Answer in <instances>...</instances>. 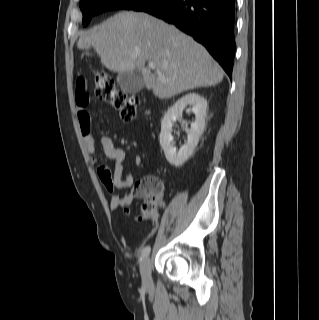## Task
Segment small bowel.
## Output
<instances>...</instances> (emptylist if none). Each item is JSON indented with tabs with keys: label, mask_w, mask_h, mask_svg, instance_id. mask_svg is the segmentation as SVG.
Listing matches in <instances>:
<instances>
[{
	"label": "small bowel",
	"mask_w": 319,
	"mask_h": 320,
	"mask_svg": "<svg viewBox=\"0 0 319 320\" xmlns=\"http://www.w3.org/2000/svg\"><path fill=\"white\" fill-rule=\"evenodd\" d=\"M89 102L90 98L85 84L79 85L75 93L77 123L82 132L88 154L92 157L95 164H100L101 161L97 154L95 140L90 134L92 116L88 109ZM118 134H124V130H120ZM99 142L104 156L114 163L112 170L104 165H102L99 170L100 180L106 191L111 194L110 206L112 208H128L138 195L135 191L133 176L130 173L124 174L126 152L122 148L116 147L110 136H102ZM133 162L136 166H141L142 157L140 155H135ZM102 170L108 173V176L104 179L101 178ZM124 189H130L131 192L125 195L117 193V191Z\"/></svg>",
	"instance_id": "c3829d8e"
}]
</instances>
